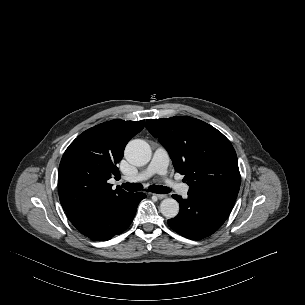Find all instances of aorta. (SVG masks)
<instances>
[{
    "label": "aorta",
    "mask_w": 305,
    "mask_h": 305,
    "mask_svg": "<svg viewBox=\"0 0 305 305\" xmlns=\"http://www.w3.org/2000/svg\"><path fill=\"white\" fill-rule=\"evenodd\" d=\"M125 158L135 166H144L151 159V149L147 142L131 140L125 148ZM160 212L166 218H174L179 213V204L173 198H166L160 203Z\"/></svg>",
    "instance_id": "762f6f07"
}]
</instances>
